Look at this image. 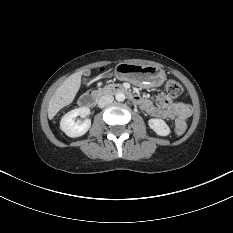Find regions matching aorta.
<instances>
[{
  "mask_svg": "<svg viewBox=\"0 0 233 233\" xmlns=\"http://www.w3.org/2000/svg\"><path fill=\"white\" fill-rule=\"evenodd\" d=\"M115 98L117 101L119 102H122L125 100V94L122 93V92H118L116 95H115Z\"/></svg>",
  "mask_w": 233,
  "mask_h": 233,
  "instance_id": "aorta-1",
  "label": "aorta"
}]
</instances>
